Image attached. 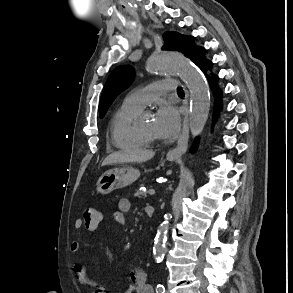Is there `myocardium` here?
<instances>
[{"instance_id":"f54148a6","label":"myocardium","mask_w":293,"mask_h":293,"mask_svg":"<svg viewBox=\"0 0 293 293\" xmlns=\"http://www.w3.org/2000/svg\"><path fill=\"white\" fill-rule=\"evenodd\" d=\"M139 131H140L141 135L145 138V140L149 142V144L156 142V140H155L156 138L144 133L141 130H139Z\"/></svg>"}]
</instances>
